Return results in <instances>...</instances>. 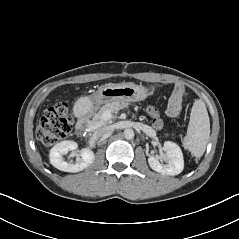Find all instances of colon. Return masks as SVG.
Wrapping results in <instances>:
<instances>
[{
	"label": "colon",
	"mask_w": 239,
	"mask_h": 239,
	"mask_svg": "<svg viewBox=\"0 0 239 239\" xmlns=\"http://www.w3.org/2000/svg\"><path fill=\"white\" fill-rule=\"evenodd\" d=\"M151 123L155 129L160 130L165 125V117L158 108L149 109ZM73 120L68 105L60 102L48 108L36 129V136L45 145H53L72 130Z\"/></svg>",
	"instance_id": "1"
}]
</instances>
